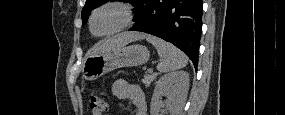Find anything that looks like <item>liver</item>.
Listing matches in <instances>:
<instances>
[{"instance_id": "obj_1", "label": "liver", "mask_w": 285, "mask_h": 115, "mask_svg": "<svg viewBox=\"0 0 285 115\" xmlns=\"http://www.w3.org/2000/svg\"><path fill=\"white\" fill-rule=\"evenodd\" d=\"M146 37V34L137 32H125L118 34L114 37L108 38L102 41L98 46L93 49V53H106L115 48H120L127 45L130 42L141 40Z\"/></svg>"}]
</instances>
